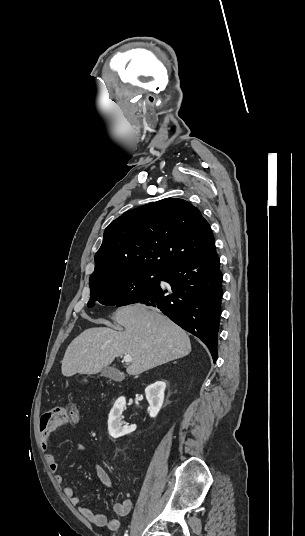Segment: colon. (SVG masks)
I'll use <instances>...</instances> for the list:
<instances>
[{
    "mask_svg": "<svg viewBox=\"0 0 305 536\" xmlns=\"http://www.w3.org/2000/svg\"><path fill=\"white\" fill-rule=\"evenodd\" d=\"M65 407V414L68 415L70 422L69 423H75L78 420L79 412L78 408L74 404H67L63 405Z\"/></svg>",
    "mask_w": 305,
    "mask_h": 536,
    "instance_id": "5ec220e1",
    "label": "colon"
}]
</instances>
